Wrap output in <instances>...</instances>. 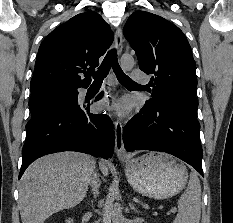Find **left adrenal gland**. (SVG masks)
<instances>
[{
	"label": "left adrenal gland",
	"instance_id": "a2214340",
	"mask_svg": "<svg viewBox=\"0 0 233 223\" xmlns=\"http://www.w3.org/2000/svg\"><path fill=\"white\" fill-rule=\"evenodd\" d=\"M129 207H130V209H133V211H135V213H138V209H137V207H135V205H133V203H129Z\"/></svg>",
	"mask_w": 233,
	"mask_h": 223
}]
</instances>
